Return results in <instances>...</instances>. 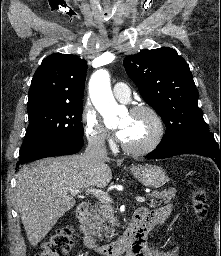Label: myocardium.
Instances as JSON below:
<instances>
[{
  "label": "myocardium",
  "instance_id": "myocardium-1",
  "mask_svg": "<svg viewBox=\"0 0 221 256\" xmlns=\"http://www.w3.org/2000/svg\"><path fill=\"white\" fill-rule=\"evenodd\" d=\"M147 114L154 123V134L149 141L142 145L133 146L125 142L122 143V148L131 154H146L153 151L162 142L165 135V123L159 112L149 105H136L130 109L129 114Z\"/></svg>",
  "mask_w": 221,
  "mask_h": 256
}]
</instances>
